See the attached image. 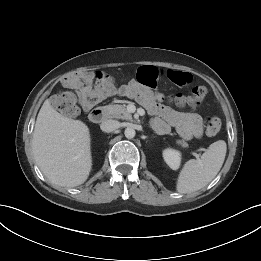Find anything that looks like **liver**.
<instances>
[{"label": "liver", "mask_w": 261, "mask_h": 261, "mask_svg": "<svg viewBox=\"0 0 261 261\" xmlns=\"http://www.w3.org/2000/svg\"><path fill=\"white\" fill-rule=\"evenodd\" d=\"M36 164L58 186L83 184L92 169L88 126L63 116L46 100L36 119L32 138Z\"/></svg>", "instance_id": "obj_1"}]
</instances>
